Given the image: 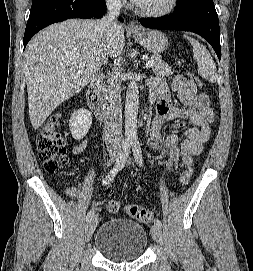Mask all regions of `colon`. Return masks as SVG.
<instances>
[{
  "instance_id": "5ec220e1",
  "label": "colon",
  "mask_w": 253,
  "mask_h": 271,
  "mask_svg": "<svg viewBox=\"0 0 253 271\" xmlns=\"http://www.w3.org/2000/svg\"><path fill=\"white\" fill-rule=\"evenodd\" d=\"M191 77L199 83L193 75ZM60 124L61 116L59 114L51 116L36 139L39 158L42 161L44 170L48 173L59 172L67 163L66 143L58 129ZM191 176L192 168L189 166L180 175L181 183L187 184ZM74 192V188L69 189V194L72 195ZM120 207V202L116 200L110 201L107 205L108 212L112 214L118 213ZM126 212L130 217L139 222L150 223L153 220L152 211L140 205H127Z\"/></svg>"
}]
</instances>
